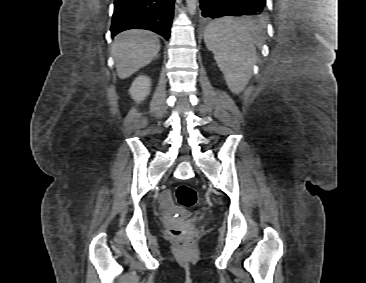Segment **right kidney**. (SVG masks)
<instances>
[{"instance_id":"right-kidney-1","label":"right kidney","mask_w":366,"mask_h":283,"mask_svg":"<svg viewBox=\"0 0 366 283\" xmlns=\"http://www.w3.org/2000/svg\"><path fill=\"white\" fill-rule=\"evenodd\" d=\"M151 80L147 76H138L132 83L129 94L137 102L143 101L150 93Z\"/></svg>"}]
</instances>
